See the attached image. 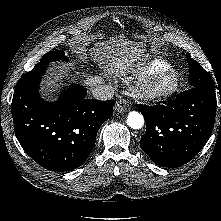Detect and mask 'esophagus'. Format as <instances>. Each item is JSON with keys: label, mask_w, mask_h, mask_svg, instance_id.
<instances>
[{"label": "esophagus", "mask_w": 221, "mask_h": 221, "mask_svg": "<svg viewBox=\"0 0 221 221\" xmlns=\"http://www.w3.org/2000/svg\"><path fill=\"white\" fill-rule=\"evenodd\" d=\"M115 110L118 113H124L130 110V104L127 100L125 99H120L119 101H117L116 106H115Z\"/></svg>", "instance_id": "esophagus-1"}]
</instances>
